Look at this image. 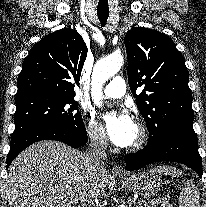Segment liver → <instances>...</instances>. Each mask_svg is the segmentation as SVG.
I'll return each mask as SVG.
<instances>
[{"label":"liver","mask_w":206,"mask_h":207,"mask_svg":"<svg viewBox=\"0 0 206 207\" xmlns=\"http://www.w3.org/2000/svg\"><path fill=\"white\" fill-rule=\"evenodd\" d=\"M108 184L107 171L93 175L85 152L47 140L11 163L5 193L10 207H76L86 197L102 196Z\"/></svg>","instance_id":"6515ba94"}]
</instances>
